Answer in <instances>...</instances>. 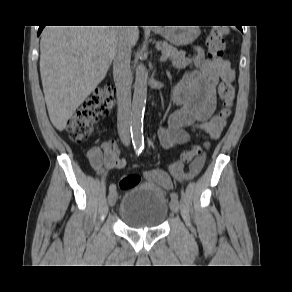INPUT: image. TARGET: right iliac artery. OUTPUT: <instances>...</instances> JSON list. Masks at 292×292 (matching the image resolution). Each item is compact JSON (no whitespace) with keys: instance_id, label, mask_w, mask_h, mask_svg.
<instances>
[{"instance_id":"right-iliac-artery-1","label":"right iliac artery","mask_w":292,"mask_h":292,"mask_svg":"<svg viewBox=\"0 0 292 292\" xmlns=\"http://www.w3.org/2000/svg\"><path fill=\"white\" fill-rule=\"evenodd\" d=\"M141 153V149H136V154L139 156V154ZM109 191L112 192V191H115V186L112 184L110 185L109 187Z\"/></svg>"}]
</instances>
